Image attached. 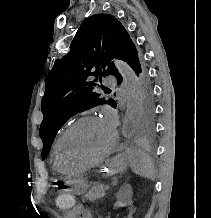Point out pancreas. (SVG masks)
Masks as SVG:
<instances>
[{
    "instance_id": "cf45deb5",
    "label": "pancreas",
    "mask_w": 211,
    "mask_h": 218,
    "mask_svg": "<svg viewBox=\"0 0 211 218\" xmlns=\"http://www.w3.org/2000/svg\"><path fill=\"white\" fill-rule=\"evenodd\" d=\"M105 188L106 186H102V184H98V186H93L91 190H89L88 194H85V198L88 200H98V198H103L105 196Z\"/></svg>"
}]
</instances>
